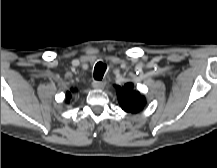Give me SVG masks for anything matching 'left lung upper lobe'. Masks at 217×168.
<instances>
[{"instance_id":"obj_1","label":"left lung upper lobe","mask_w":217,"mask_h":168,"mask_svg":"<svg viewBox=\"0 0 217 168\" xmlns=\"http://www.w3.org/2000/svg\"><path fill=\"white\" fill-rule=\"evenodd\" d=\"M132 83L116 86L117 98L121 108L126 112L137 113L145 106V98L133 88Z\"/></svg>"}]
</instances>
